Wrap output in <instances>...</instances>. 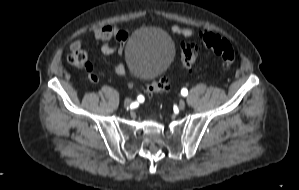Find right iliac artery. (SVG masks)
Instances as JSON below:
<instances>
[{"mask_svg":"<svg viewBox=\"0 0 299 190\" xmlns=\"http://www.w3.org/2000/svg\"><path fill=\"white\" fill-rule=\"evenodd\" d=\"M144 99V97L142 96V95H140L139 97H138V100H143Z\"/></svg>","mask_w":299,"mask_h":190,"instance_id":"right-iliac-artery-1","label":"right iliac artery"}]
</instances>
